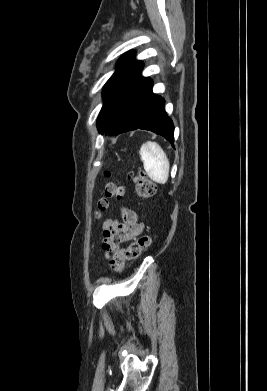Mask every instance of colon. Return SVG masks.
Segmentation results:
<instances>
[{
    "label": "colon",
    "mask_w": 267,
    "mask_h": 391,
    "mask_svg": "<svg viewBox=\"0 0 267 391\" xmlns=\"http://www.w3.org/2000/svg\"><path fill=\"white\" fill-rule=\"evenodd\" d=\"M110 176V173H106ZM135 181V193L142 198H148L154 195L155 184L146 177L142 172H139L133 177ZM125 196V189L114 182H110L105 187V193L97 201V215H100L109 206L110 199H121ZM150 237L143 235L132 242L125 248L118 250L110 261V266L115 271H122L128 261L137 259L143 250L150 245Z\"/></svg>",
    "instance_id": "5ec220e1"
}]
</instances>
